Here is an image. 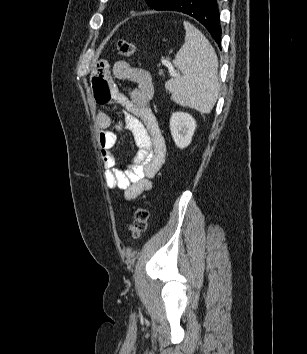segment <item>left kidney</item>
Returning <instances> with one entry per match:
<instances>
[{
  "mask_svg": "<svg viewBox=\"0 0 307 354\" xmlns=\"http://www.w3.org/2000/svg\"><path fill=\"white\" fill-rule=\"evenodd\" d=\"M196 126V121L190 114L185 112L172 113L170 131L178 148L183 149L191 143Z\"/></svg>",
  "mask_w": 307,
  "mask_h": 354,
  "instance_id": "5707ae66",
  "label": "left kidney"
}]
</instances>
